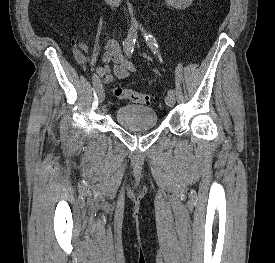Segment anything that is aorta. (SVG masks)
I'll use <instances>...</instances> for the list:
<instances>
[{
	"mask_svg": "<svg viewBox=\"0 0 275 263\" xmlns=\"http://www.w3.org/2000/svg\"><path fill=\"white\" fill-rule=\"evenodd\" d=\"M134 25H135V26H137V25H138V23H137L136 21H134Z\"/></svg>",
	"mask_w": 275,
	"mask_h": 263,
	"instance_id": "obj_1",
	"label": "aorta"
}]
</instances>
